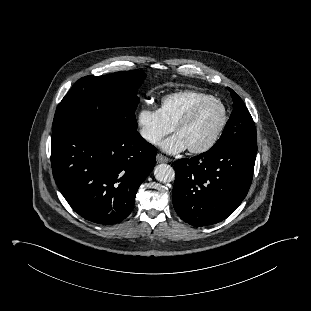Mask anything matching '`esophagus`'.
I'll return each instance as SVG.
<instances>
[{
  "mask_svg": "<svg viewBox=\"0 0 311 311\" xmlns=\"http://www.w3.org/2000/svg\"><path fill=\"white\" fill-rule=\"evenodd\" d=\"M156 161H157L158 163H166V162H169L170 160H169V158L165 157V156L162 155V154H157V156H156Z\"/></svg>",
  "mask_w": 311,
  "mask_h": 311,
  "instance_id": "1",
  "label": "esophagus"
}]
</instances>
